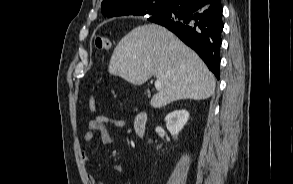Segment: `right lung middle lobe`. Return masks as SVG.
<instances>
[{
    "label": "right lung middle lobe",
    "instance_id": "dd1d6c3e",
    "mask_svg": "<svg viewBox=\"0 0 293 184\" xmlns=\"http://www.w3.org/2000/svg\"><path fill=\"white\" fill-rule=\"evenodd\" d=\"M159 8L145 10L141 14L142 15L148 14L150 16L149 17L150 19H153V18L155 19V18H158L161 16V13L159 12V10H160Z\"/></svg>",
    "mask_w": 293,
    "mask_h": 184
}]
</instances>
